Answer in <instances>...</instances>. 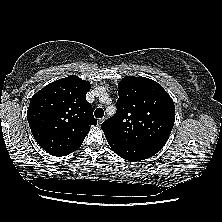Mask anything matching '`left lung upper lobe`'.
<instances>
[{"instance_id": "left-lung-upper-lobe-1", "label": "left lung upper lobe", "mask_w": 222, "mask_h": 222, "mask_svg": "<svg viewBox=\"0 0 222 222\" xmlns=\"http://www.w3.org/2000/svg\"><path fill=\"white\" fill-rule=\"evenodd\" d=\"M118 88L116 114L101 125L105 137L163 148L174 126L172 98L159 83L145 77L126 76Z\"/></svg>"}]
</instances>
